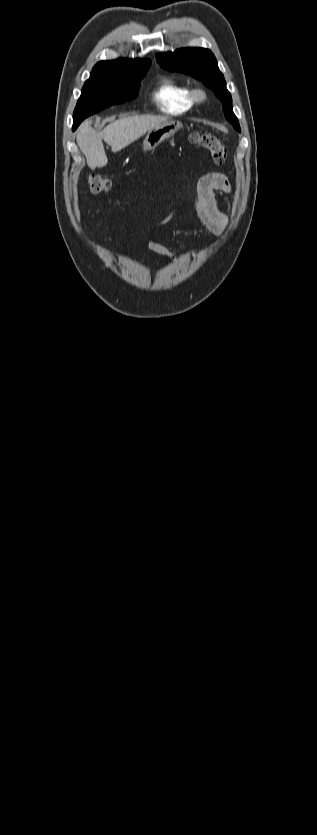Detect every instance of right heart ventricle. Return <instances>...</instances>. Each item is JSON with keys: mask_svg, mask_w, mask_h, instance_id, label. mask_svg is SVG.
Instances as JSON below:
<instances>
[{"mask_svg": "<svg viewBox=\"0 0 317 835\" xmlns=\"http://www.w3.org/2000/svg\"><path fill=\"white\" fill-rule=\"evenodd\" d=\"M189 93L190 89L185 83L165 77L156 85L152 98L162 112L176 115L192 109Z\"/></svg>", "mask_w": 317, "mask_h": 835, "instance_id": "obj_1", "label": "right heart ventricle"}]
</instances>
